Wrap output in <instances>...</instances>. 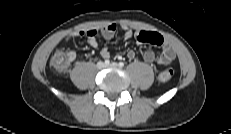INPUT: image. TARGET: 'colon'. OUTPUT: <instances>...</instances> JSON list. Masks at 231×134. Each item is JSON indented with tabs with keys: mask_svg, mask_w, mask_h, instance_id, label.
Masks as SVG:
<instances>
[{
	"mask_svg": "<svg viewBox=\"0 0 231 134\" xmlns=\"http://www.w3.org/2000/svg\"><path fill=\"white\" fill-rule=\"evenodd\" d=\"M70 62L71 60L68 52H65L63 50L56 51L50 59L51 67L58 72H64L68 68ZM173 74V69L166 68L159 72L157 77L158 81H160L161 83H166L171 80Z\"/></svg>",
	"mask_w": 231,
	"mask_h": 134,
	"instance_id": "colon-1",
	"label": "colon"
}]
</instances>
